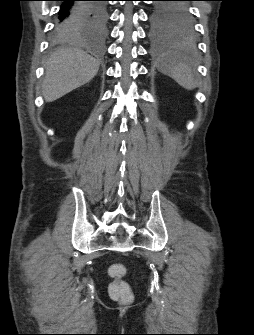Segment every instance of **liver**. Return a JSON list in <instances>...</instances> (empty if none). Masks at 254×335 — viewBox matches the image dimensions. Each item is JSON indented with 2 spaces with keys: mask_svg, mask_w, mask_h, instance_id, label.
I'll list each match as a JSON object with an SVG mask.
<instances>
[{
  "mask_svg": "<svg viewBox=\"0 0 254 335\" xmlns=\"http://www.w3.org/2000/svg\"><path fill=\"white\" fill-rule=\"evenodd\" d=\"M42 93L52 102L91 81L99 70V62L78 48L55 51L45 67Z\"/></svg>",
  "mask_w": 254,
  "mask_h": 335,
  "instance_id": "liver-1",
  "label": "liver"
}]
</instances>
